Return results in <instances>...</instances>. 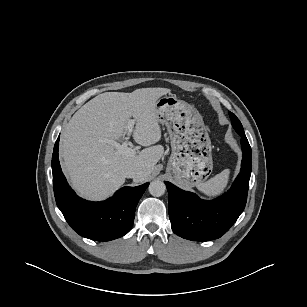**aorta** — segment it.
Returning <instances> with one entry per match:
<instances>
[{"label": "aorta", "instance_id": "obj_1", "mask_svg": "<svg viewBox=\"0 0 307 307\" xmlns=\"http://www.w3.org/2000/svg\"><path fill=\"white\" fill-rule=\"evenodd\" d=\"M149 192L152 196L154 197H160L164 195L166 191V186L164 182L159 181V180H154L150 183L149 187Z\"/></svg>", "mask_w": 307, "mask_h": 307}]
</instances>
